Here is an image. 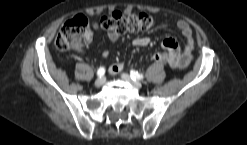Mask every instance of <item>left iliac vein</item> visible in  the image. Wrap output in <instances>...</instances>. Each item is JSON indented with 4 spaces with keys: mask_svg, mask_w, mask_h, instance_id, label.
Returning a JSON list of instances; mask_svg holds the SVG:
<instances>
[{
    "mask_svg": "<svg viewBox=\"0 0 247 145\" xmlns=\"http://www.w3.org/2000/svg\"><path fill=\"white\" fill-rule=\"evenodd\" d=\"M121 78L126 82L130 83L132 86L136 88H141L142 84L139 81L133 80L128 74L122 73Z\"/></svg>",
    "mask_w": 247,
    "mask_h": 145,
    "instance_id": "1",
    "label": "left iliac vein"
}]
</instances>
